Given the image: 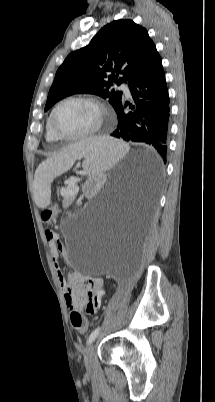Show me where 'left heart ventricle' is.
I'll return each mask as SVG.
<instances>
[{
    "label": "left heart ventricle",
    "mask_w": 215,
    "mask_h": 402,
    "mask_svg": "<svg viewBox=\"0 0 215 402\" xmlns=\"http://www.w3.org/2000/svg\"><path fill=\"white\" fill-rule=\"evenodd\" d=\"M98 111L90 103L71 101L63 104L55 114V126L65 135H79L91 130L97 123Z\"/></svg>",
    "instance_id": "obj_1"
}]
</instances>
